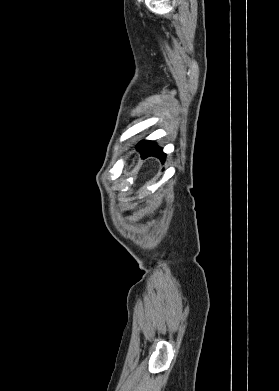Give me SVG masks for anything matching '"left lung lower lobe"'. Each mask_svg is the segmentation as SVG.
<instances>
[{
	"label": "left lung lower lobe",
	"mask_w": 279,
	"mask_h": 391,
	"mask_svg": "<svg viewBox=\"0 0 279 391\" xmlns=\"http://www.w3.org/2000/svg\"><path fill=\"white\" fill-rule=\"evenodd\" d=\"M137 149L141 153L142 158H147L149 156H156L160 158L162 162L166 157V154L163 153L162 148L156 145L153 141H141L137 144Z\"/></svg>",
	"instance_id": "left-lung-lower-lobe-1"
}]
</instances>
